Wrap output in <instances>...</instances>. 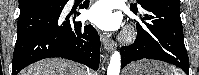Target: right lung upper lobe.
I'll use <instances>...</instances> for the list:
<instances>
[{
	"instance_id": "1",
	"label": "right lung upper lobe",
	"mask_w": 199,
	"mask_h": 75,
	"mask_svg": "<svg viewBox=\"0 0 199 75\" xmlns=\"http://www.w3.org/2000/svg\"><path fill=\"white\" fill-rule=\"evenodd\" d=\"M23 1H25V0H19V2H23Z\"/></svg>"
}]
</instances>
